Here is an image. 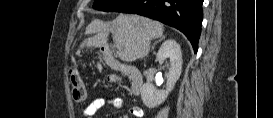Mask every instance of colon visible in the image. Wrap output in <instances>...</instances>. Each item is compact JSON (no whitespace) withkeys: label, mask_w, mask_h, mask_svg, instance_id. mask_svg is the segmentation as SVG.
<instances>
[{"label":"colon","mask_w":273,"mask_h":118,"mask_svg":"<svg viewBox=\"0 0 273 118\" xmlns=\"http://www.w3.org/2000/svg\"><path fill=\"white\" fill-rule=\"evenodd\" d=\"M70 86L75 101L82 102L86 98L85 85L77 68L72 67L69 70ZM110 82H117L118 78L114 75L107 77Z\"/></svg>","instance_id":"1"}]
</instances>
